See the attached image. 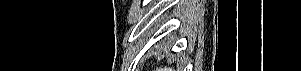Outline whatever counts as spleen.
<instances>
[{"mask_svg": "<svg viewBox=\"0 0 301 71\" xmlns=\"http://www.w3.org/2000/svg\"><path fill=\"white\" fill-rule=\"evenodd\" d=\"M173 69L172 68H157V71H172Z\"/></svg>", "mask_w": 301, "mask_h": 71, "instance_id": "spleen-1", "label": "spleen"}]
</instances>
